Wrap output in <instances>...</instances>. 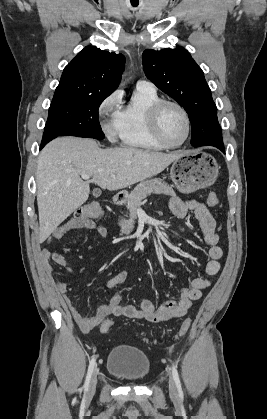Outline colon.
Returning <instances> with one entry per match:
<instances>
[{"label": "colon", "instance_id": "obj_1", "mask_svg": "<svg viewBox=\"0 0 267 419\" xmlns=\"http://www.w3.org/2000/svg\"><path fill=\"white\" fill-rule=\"evenodd\" d=\"M207 204L210 207H216L219 204V199L215 194H210L207 198ZM103 215V210L100 205L96 203H90L80 207L75 213L73 218L76 220H92L100 218ZM113 326L112 320H105L101 325V332L106 333L108 332ZM191 327V320L186 319L181 324L178 332L177 337H181L185 335Z\"/></svg>", "mask_w": 267, "mask_h": 419}]
</instances>
